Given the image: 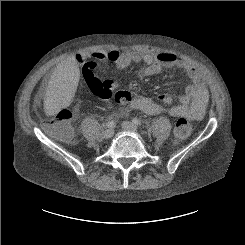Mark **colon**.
I'll use <instances>...</instances> for the list:
<instances>
[{"instance_id":"obj_1","label":"colon","mask_w":245,"mask_h":245,"mask_svg":"<svg viewBox=\"0 0 245 245\" xmlns=\"http://www.w3.org/2000/svg\"><path fill=\"white\" fill-rule=\"evenodd\" d=\"M82 72L84 75L90 76L98 70L97 63L91 60H86L81 62ZM90 86L92 90L103 96L104 98H109L115 103H129L133 100V94L130 91H110L106 87V83L100 82L95 78L90 80ZM159 101L163 104L170 105L173 104L175 99L174 96L170 93H164L159 95ZM71 112L63 108L61 109L55 117L48 119L43 127L44 129L53 137L59 139H69L73 136V129L69 124L71 119ZM191 133V124L189 120L185 117H179L175 124L172 145L178 147L184 140H186Z\"/></svg>"}]
</instances>
